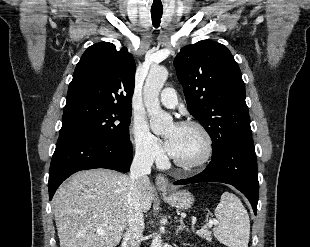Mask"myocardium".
<instances>
[{"label": "myocardium", "mask_w": 310, "mask_h": 247, "mask_svg": "<svg viewBox=\"0 0 310 247\" xmlns=\"http://www.w3.org/2000/svg\"><path fill=\"white\" fill-rule=\"evenodd\" d=\"M179 127L184 128H195L197 129L202 136L204 137L205 141V151L203 156L192 163H184L177 159H175L173 156L171 157V161L175 166H177L180 169L186 170V171H196L202 167H204L212 158L213 151H214V145H213V139L209 133V131L199 122L197 121H182L178 124Z\"/></svg>", "instance_id": "myocardium-1"}]
</instances>
